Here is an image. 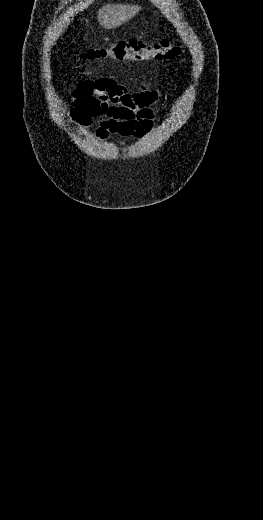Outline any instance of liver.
<instances>
[{
  "instance_id": "1",
  "label": "liver",
  "mask_w": 263,
  "mask_h": 520,
  "mask_svg": "<svg viewBox=\"0 0 263 520\" xmlns=\"http://www.w3.org/2000/svg\"><path fill=\"white\" fill-rule=\"evenodd\" d=\"M141 7L138 5L106 4L98 11V21L106 29L116 28L133 18Z\"/></svg>"
}]
</instances>
